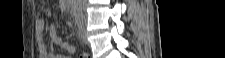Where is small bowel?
I'll list each match as a JSON object with an SVG mask.
<instances>
[{"label": "small bowel", "instance_id": "c3829d8e", "mask_svg": "<svg viewBox=\"0 0 225 58\" xmlns=\"http://www.w3.org/2000/svg\"><path fill=\"white\" fill-rule=\"evenodd\" d=\"M37 26L40 31H43L46 27L45 21L43 19H38ZM48 30L53 45L59 46L62 50L66 51L70 55L75 54V46L59 37L57 34V30L53 24L49 25ZM39 51L43 58H68L65 55H60L56 53L53 48L51 50H48L44 44H41L39 46Z\"/></svg>", "mask_w": 225, "mask_h": 58}]
</instances>
